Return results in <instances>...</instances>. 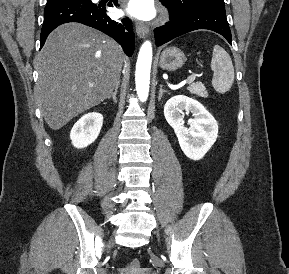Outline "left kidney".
<instances>
[{
    "mask_svg": "<svg viewBox=\"0 0 289 274\" xmlns=\"http://www.w3.org/2000/svg\"><path fill=\"white\" fill-rule=\"evenodd\" d=\"M184 112H191V128L184 127ZM164 116L174 129L184 154L192 160H200L210 150L218 136V124L214 117L198 101L177 95L164 106Z\"/></svg>",
    "mask_w": 289,
    "mask_h": 274,
    "instance_id": "left-kidney-1",
    "label": "left kidney"
}]
</instances>
